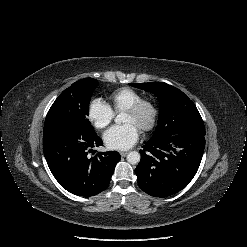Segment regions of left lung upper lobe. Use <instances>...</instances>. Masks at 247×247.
<instances>
[{
  "label": "left lung upper lobe",
  "instance_id": "1",
  "mask_svg": "<svg viewBox=\"0 0 247 247\" xmlns=\"http://www.w3.org/2000/svg\"><path fill=\"white\" fill-rule=\"evenodd\" d=\"M155 94L160 102V118L150 140H160L179 133L205 134V127L195 104L179 89L164 82L130 83Z\"/></svg>",
  "mask_w": 247,
  "mask_h": 247
}]
</instances>
